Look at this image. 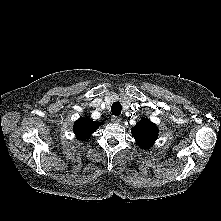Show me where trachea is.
Returning <instances> with one entry per match:
<instances>
[{"instance_id": "3493384b", "label": "trachea", "mask_w": 221, "mask_h": 221, "mask_svg": "<svg viewBox=\"0 0 221 221\" xmlns=\"http://www.w3.org/2000/svg\"><path fill=\"white\" fill-rule=\"evenodd\" d=\"M122 106L120 102H114L111 106V112L115 116H119L121 114Z\"/></svg>"}]
</instances>
